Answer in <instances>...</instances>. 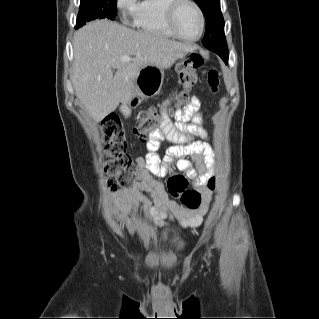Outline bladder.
<instances>
[{"label":"bladder","instance_id":"31cf9c89","mask_svg":"<svg viewBox=\"0 0 319 319\" xmlns=\"http://www.w3.org/2000/svg\"><path fill=\"white\" fill-rule=\"evenodd\" d=\"M184 245V240L180 239L173 238L166 242H164L163 240L156 239L152 242H147L143 247V250L146 252L155 253L158 256L171 255L175 257L178 253H180Z\"/></svg>","mask_w":319,"mask_h":319}]
</instances>
